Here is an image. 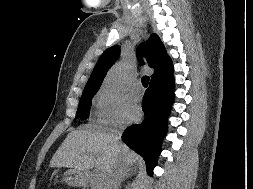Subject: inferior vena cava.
<instances>
[{
  "mask_svg": "<svg viewBox=\"0 0 253 189\" xmlns=\"http://www.w3.org/2000/svg\"><path fill=\"white\" fill-rule=\"evenodd\" d=\"M123 127L120 126L118 130L114 131L113 140L115 143L119 142L122 134ZM128 150H120L117 154L118 161L108 175L103 179V187L102 189H119L121 182L125 178V174L127 171V160L126 157L129 156Z\"/></svg>",
  "mask_w": 253,
  "mask_h": 189,
  "instance_id": "602c4592",
  "label": "inferior vena cava"
}]
</instances>
